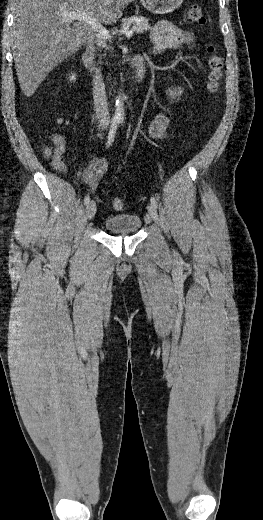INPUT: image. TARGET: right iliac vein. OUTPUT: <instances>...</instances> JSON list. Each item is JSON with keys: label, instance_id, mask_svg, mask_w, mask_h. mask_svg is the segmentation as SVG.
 I'll list each match as a JSON object with an SVG mask.
<instances>
[{"label": "right iliac vein", "instance_id": "63e3f726", "mask_svg": "<svg viewBox=\"0 0 263 520\" xmlns=\"http://www.w3.org/2000/svg\"><path fill=\"white\" fill-rule=\"evenodd\" d=\"M95 213H96V203L94 201H91L90 203H88L87 207H86V216H87V219H92L94 216H95Z\"/></svg>", "mask_w": 263, "mask_h": 520}]
</instances>
